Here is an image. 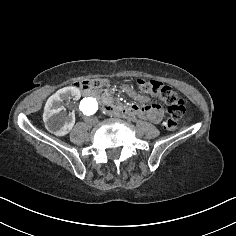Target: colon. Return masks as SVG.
<instances>
[{"label": "colon", "mask_w": 236, "mask_h": 236, "mask_svg": "<svg viewBox=\"0 0 236 236\" xmlns=\"http://www.w3.org/2000/svg\"><path fill=\"white\" fill-rule=\"evenodd\" d=\"M108 84L103 78H90L75 82V85L81 89H96ZM139 89L143 92L151 93L160 97L168 106L169 118L164 122L168 130H175L178 121L185 113V102L180 98L171 87L155 80H137Z\"/></svg>", "instance_id": "obj_1"}]
</instances>
